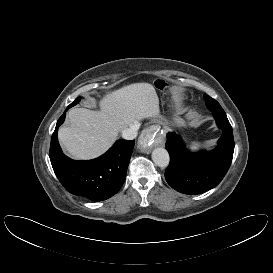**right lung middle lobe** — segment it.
Wrapping results in <instances>:
<instances>
[{
  "mask_svg": "<svg viewBox=\"0 0 273 273\" xmlns=\"http://www.w3.org/2000/svg\"><path fill=\"white\" fill-rule=\"evenodd\" d=\"M81 100V97L76 98L68 107L71 108L74 105H76L77 103H79V101Z\"/></svg>",
  "mask_w": 273,
  "mask_h": 273,
  "instance_id": "right-lung-middle-lobe-1",
  "label": "right lung middle lobe"
}]
</instances>
